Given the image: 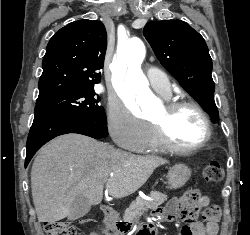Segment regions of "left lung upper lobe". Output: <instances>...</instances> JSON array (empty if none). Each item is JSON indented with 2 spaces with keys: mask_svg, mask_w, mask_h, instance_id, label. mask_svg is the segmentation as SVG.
I'll use <instances>...</instances> for the list:
<instances>
[{
  "mask_svg": "<svg viewBox=\"0 0 250 235\" xmlns=\"http://www.w3.org/2000/svg\"><path fill=\"white\" fill-rule=\"evenodd\" d=\"M143 34L161 64L216 123L212 60L203 37L181 20L151 21Z\"/></svg>",
  "mask_w": 250,
  "mask_h": 235,
  "instance_id": "1",
  "label": "left lung upper lobe"
}]
</instances>
